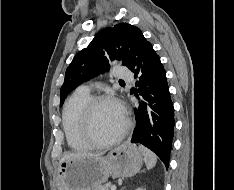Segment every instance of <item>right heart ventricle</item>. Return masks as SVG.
Wrapping results in <instances>:
<instances>
[{
  "instance_id": "obj_1",
  "label": "right heart ventricle",
  "mask_w": 234,
  "mask_h": 190,
  "mask_svg": "<svg viewBox=\"0 0 234 190\" xmlns=\"http://www.w3.org/2000/svg\"><path fill=\"white\" fill-rule=\"evenodd\" d=\"M90 98V93L76 90L63 108L62 126L65 138L69 147L74 150H87L91 147L81 133L82 110Z\"/></svg>"
}]
</instances>
